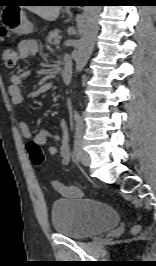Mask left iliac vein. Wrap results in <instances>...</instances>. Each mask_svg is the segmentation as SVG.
<instances>
[{
    "label": "left iliac vein",
    "instance_id": "4c4485c4",
    "mask_svg": "<svg viewBox=\"0 0 156 266\" xmlns=\"http://www.w3.org/2000/svg\"><path fill=\"white\" fill-rule=\"evenodd\" d=\"M79 159H80V162L84 166H89L90 165V162H91L90 156H89V154L86 151H84L82 149L79 152Z\"/></svg>",
    "mask_w": 156,
    "mask_h": 266
}]
</instances>
